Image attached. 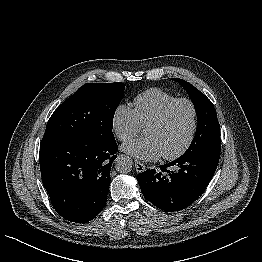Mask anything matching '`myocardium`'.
<instances>
[{"label":"myocardium","mask_w":262,"mask_h":262,"mask_svg":"<svg viewBox=\"0 0 262 262\" xmlns=\"http://www.w3.org/2000/svg\"><path fill=\"white\" fill-rule=\"evenodd\" d=\"M179 103H187L192 110V124H191V129L188 135V138L186 140V142L184 143V145L177 150L176 152L169 154V155H162V157L165 160L171 161V160H175L179 157H181L183 154H185L188 149L190 148V146L193 143L196 131H197V125H198V109L195 105V103L188 98H177L174 101L170 102L169 104H167L162 110L161 112L158 114V116L156 118H154L148 125L149 126H159L162 125L166 118L168 117L170 111L172 110V108L174 106H176Z\"/></svg>","instance_id":"obj_1"}]
</instances>
